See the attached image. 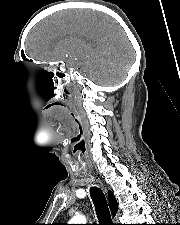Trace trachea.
Returning <instances> with one entry per match:
<instances>
[{
  "mask_svg": "<svg viewBox=\"0 0 180 225\" xmlns=\"http://www.w3.org/2000/svg\"><path fill=\"white\" fill-rule=\"evenodd\" d=\"M90 192L100 225H113L104 193L98 188H91Z\"/></svg>",
  "mask_w": 180,
  "mask_h": 225,
  "instance_id": "trachea-1",
  "label": "trachea"
}]
</instances>
